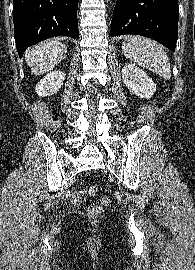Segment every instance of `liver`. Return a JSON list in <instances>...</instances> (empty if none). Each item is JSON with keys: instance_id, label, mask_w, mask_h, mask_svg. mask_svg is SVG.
Wrapping results in <instances>:
<instances>
[{"instance_id": "liver-1", "label": "liver", "mask_w": 195, "mask_h": 270, "mask_svg": "<svg viewBox=\"0 0 195 270\" xmlns=\"http://www.w3.org/2000/svg\"><path fill=\"white\" fill-rule=\"evenodd\" d=\"M66 53V45L58 39H48L28 49L25 59L32 73L41 75L58 65L66 57Z\"/></svg>"}]
</instances>
